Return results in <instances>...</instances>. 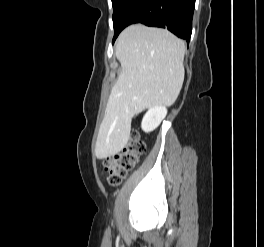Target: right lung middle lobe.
I'll list each match as a JSON object with an SVG mask.
<instances>
[{"label":"right lung middle lobe","mask_w":264,"mask_h":247,"mask_svg":"<svg viewBox=\"0 0 264 247\" xmlns=\"http://www.w3.org/2000/svg\"><path fill=\"white\" fill-rule=\"evenodd\" d=\"M128 2L129 0H112L114 30L117 27V20Z\"/></svg>","instance_id":"right-lung-middle-lobe-1"}]
</instances>
